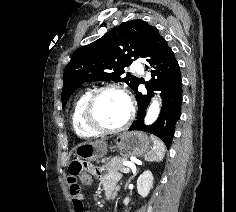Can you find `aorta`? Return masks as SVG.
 Listing matches in <instances>:
<instances>
[{
  "label": "aorta",
  "mask_w": 236,
  "mask_h": 212,
  "mask_svg": "<svg viewBox=\"0 0 236 212\" xmlns=\"http://www.w3.org/2000/svg\"><path fill=\"white\" fill-rule=\"evenodd\" d=\"M160 113V104L157 100H153L149 106L145 117V124L150 125L156 121Z\"/></svg>",
  "instance_id": "aorta-1"
}]
</instances>
